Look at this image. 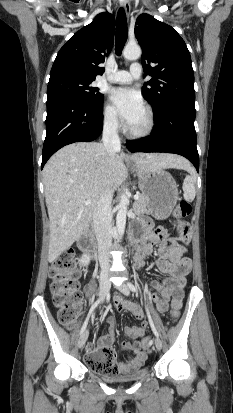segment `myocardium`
I'll use <instances>...</instances> for the list:
<instances>
[{"mask_svg": "<svg viewBox=\"0 0 233 413\" xmlns=\"http://www.w3.org/2000/svg\"><path fill=\"white\" fill-rule=\"evenodd\" d=\"M145 124L141 129H132L129 127L127 129V134L129 137L134 139H141L148 137L155 128V118L152 110L148 107L145 108Z\"/></svg>", "mask_w": 233, "mask_h": 413, "instance_id": "f54148a6", "label": "myocardium"}]
</instances>
